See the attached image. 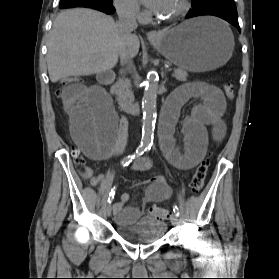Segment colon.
<instances>
[{
  "instance_id": "5ec220e1",
  "label": "colon",
  "mask_w": 279,
  "mask_h": 279,
  "mask_svg": "<svg viewBox=\"0 0 279 279\" xmlns=\"http://www.w3.org/2000/svg\"><path fill=\"white\" fill-rule=\"evenodd\" d=\"M79 81V78L77 77H70V78H64L59 82L60 88L58 89V94L61 93L62 89L65 88L68 85L75 84ZM224 92L226 96L229 99H232L234 97V86L231 83H226L224 85ZM74 163L78 166H83L85 165L86 161L85 159L79 155L77 152H74ZM209 170V160L204 159L202 160L199 165L195 168L192 179H191V190L193 193H199L205 183V179L207 176ZM148 213L149 215L160 219V220H165L170 217V211L166 208L158 207V206H150L148 208Z\"/></svg>"
}]
</instances>
